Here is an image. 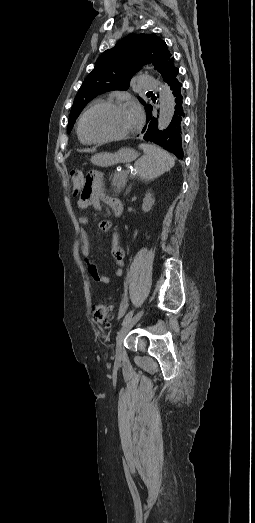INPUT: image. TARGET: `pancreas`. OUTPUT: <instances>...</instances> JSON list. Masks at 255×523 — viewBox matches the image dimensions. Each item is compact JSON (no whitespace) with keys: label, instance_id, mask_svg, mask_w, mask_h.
<instances>
[{"label":"pancreas","instance_id":"pancreas-1","mask_svg":"<svg viewBox=\"0 0 255 523\" xmlns=\"http://www.w3.org/2000/svg\"><path fill=\"white\" fill-rule=\"evenodd\" d=\"M128 174H125L122 170V172H115L112 176V182L111 186H114V192L116 194H119V192H122L123 188L126 186Z\"/></svg>","mask_w":255,"mask_h":523}]
</instances>
